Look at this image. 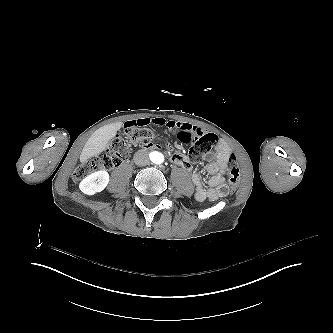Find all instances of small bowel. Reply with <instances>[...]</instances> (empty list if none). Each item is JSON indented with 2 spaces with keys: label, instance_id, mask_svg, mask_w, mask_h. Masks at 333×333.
Instances as JSON below:
<instances>
[{
  "label": "small bowel",
  "instance_id": "c3829d8e",
  "mask_svg": "<svg viewBox=\"0 0 333 333\" xmlns=\"http://www.w3.org/2000/svg\"><path fill=\"white\" fill-rule=\"evenodd\" d=\"M128 125L132 123V127L135 126H147V125H154L158 127H167L169 129L178 128L179 130L185 129L192 133H201L197 129L193 128L191 125L168 120L164 117H142L135 120H128L126 122ZM141 147L145 150H150L151 148L162 149L163 143L151 141L147 143H143ZM168 148V145L164 146ZM233 155L230 152V148L227 143L223 140H219L215 147V160L210 162L206 166V171L210 175L208 180V186H204L202 177L200 173L195 172L192 175V182L195 186V199L198 202H203L205 200H209L211 202H217L220 198L226 196L228 192H224L223 188L226 186L224 175L230 167V170L236 166V161L233 159ZM169 160L178 166H181L186 171L191 169V165L189 162L188 157L179 151H175L170 153Z\"/></svg>",
  "mask_w": 333,
  "mask_h": 333
}]
</instances>
